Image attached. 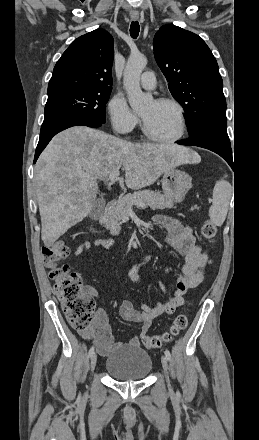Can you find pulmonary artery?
<instances>
[{
    "mask_svg": "<svg viewBox=\"0 0 259 440\" xmlns=\"http://www.w3.org/2000/svg\"><path fill=\"white\" fill-rule=\"evenodd\" d=\"M140 84L146 90H152L156 86L155 75L151 71H146L141 76Z\"/></svg>",
    "mask_w": 259,
    "mask_h": 440,
    "instance_id": "pulmonary-artery-1",
    "label": "pulmonary artery"
}]
</instances>
